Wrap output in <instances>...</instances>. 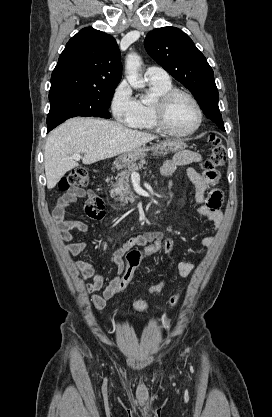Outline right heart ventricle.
Returning a JSON list of instances; mask_svg holds the SVG:
<instances>
[{
	"instance_id": "right-heart-ventricle-1",
	"label": "right heart ventricle",
	"mask_w": 272,
	"mask_h": 417,
	"mask_svg": "<svg viewBox=\"0 0 272 417\" xmlns=\"http://www.w3.org/2000/svg\"><path fill=\"white\" fill-rule=\"evenodd\" d=\"M150 92L153 98L156 100L159 96L173 89L171 81L167 83H156L149 81ZM139 102V111L136 119L129 125L130 127L138 130L145 131H159L153 117V104L154 102Z\"/></svg>"
}]
</instances>
